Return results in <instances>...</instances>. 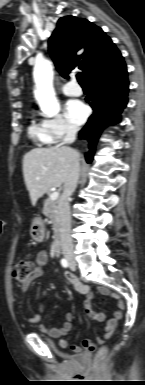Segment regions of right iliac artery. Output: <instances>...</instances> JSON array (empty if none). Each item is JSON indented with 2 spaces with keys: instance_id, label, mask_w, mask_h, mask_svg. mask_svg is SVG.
I'll return each instance as SVG.
<instances>
[{
  "instance_id": "obj_1",
  "label": "right iliac artery",
  "mask_w": 145,
  "mask_h": 385,
  "mask_svg": "<svg viewBox=\"0 0 145 385\" xmlns=\"http://www.w3.org/2000/svg\"><path fill=\"white\" fill-rule=\"evenodd\" d=\"M61 265L64 267V268H67L68 266H69V263H68V261L66 260V259H62L61 260Z\"/></svg>"
}]
</instances>
